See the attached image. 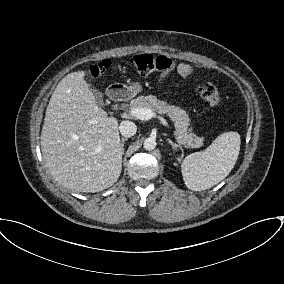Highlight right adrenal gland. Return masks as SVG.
Listing matches in <instances>:
<instances>
[{
  "label": "right adrenal gland",
  "instance_id": "obj_1",
  "mask_svg": "<svg viewBox=\"0 0 284 284\" xmlns=\"http://www.w3.org/2000/svg\"><path fill=\"white\" fill-rule=\"evenodd\" d=\"M125 141H127V138H122L121 139V147H122V153L124 154V144H125Z\"/></svg>",
  "mask_w": 284,
  "mask_h": 284
}]
</instances>
